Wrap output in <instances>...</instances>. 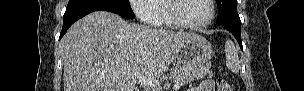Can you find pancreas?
I'll return each instance as SVG.
<instances>
[{
    "label": "pancreas",
    "mask_w": 304,
    "mask_h": 91,
    "mask_svg": "<svg viewBox=\"0 0 304 91\" xmlns=\"http://www.w3.org/2000/svg\"><path fill=\"white\" fill-rule=\"evenodd\" d=\"M205 76L210 78L213 76V73L208 66H203L200 68L174 66L169 72V77L172 78L174 83L178 84L179 87H182L195 79H203Z\"/></svg>",
    "instance_id": "1"
}]
</instances>
